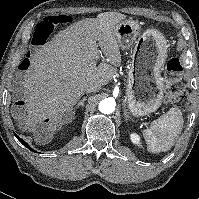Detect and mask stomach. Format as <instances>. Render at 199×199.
I'll return each instance as SVG.
<instances>
[{"mask_svg": "<svg viewBox=\"0 0 199 199\" xmlns=\"http://www.w3.org/2000/svg\"><path fill=\"white\" fill-rule=\"evenodd\" d=\"M118 45L131 50L126 96L131 114L141 117L155 112L164 98L161 76L167 58V42L156 29L141 34L139 24L125 19L115 27Z\"/></svg>", "mask_w": 199, "mask_h": 199, "instance_id": "stomach-1", "label": "stomach"}]
</instances>
